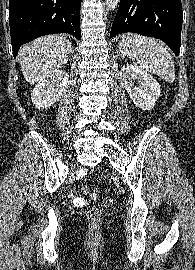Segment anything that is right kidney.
Instances as JSON below:
<instances>
[{"mask_svg": "<svg viewBox=\"0 0 195 270\" xmlns=\"http://www.w3.org/2000/svg\"><path fill=\"white\" fill-rule=\"evenodd\" d=\"M68 74L63 70L42 78L31 93V100L36 108L47 109L58 101L66 89Z\"/></svg>", "mask_w": 195, "mask_h": 270, "instance_id": "1", "label": "right kidney"}]
</instances>
